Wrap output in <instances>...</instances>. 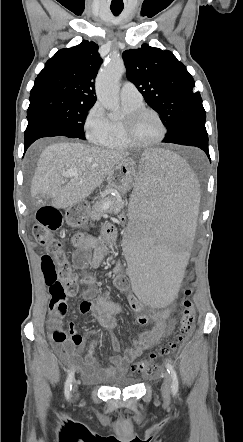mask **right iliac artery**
Returning a JSON list of instances; mask_svg holds the SVG:
<instances>
[{
  "label": "right iliac artery",
  "instance_id": "obj_1",
  "mask_svg": "<svg viewBox=\"0 0 243 442\" xmlns=\"http://www.w3.org/2000/svg\"><path fill=\"white\" fill-rule=\"evenodd\" d=\"M74 379V371H71L67 377L65 387H64V393L66 399H70L71 397V389H72V382Z\"/></svg>",
  "mask_w": 243,
  "mask_h": 442
}]
</instances>
